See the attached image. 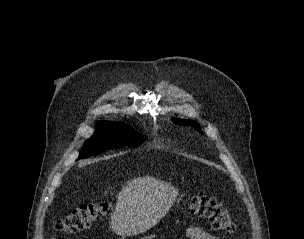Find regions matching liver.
Here are the masks:
<instances>
[{
  "instance_id": "obj_1",
  "label": "liver",
  "mask_w": 304,
  "mask_h": 239,
  "mask_svg": "<svg viewBox=\"0 0 304 239\" xmlns=\"http://www.w3.org/2000/svg\"><path fill=\"white\" fill-rule=\"evenodd\" d=\"M178 195L171 183L145 176L134 178L117 194L111 229L132 236L154 227L169 211Z\"/></svg>"
}]
</instances>
